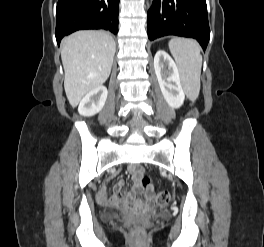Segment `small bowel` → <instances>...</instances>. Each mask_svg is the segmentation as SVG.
<instances>
[{
    "instance_id": "obj_1",
    "label": "small bowel",
    "mask_w": 264,
    "mask_h": 247,
    "mask_svg": "<svg viewBox=\"0 0 264 247\" xmlns=\"http://www.w3.org/2000/svg\"><path fill=\"white\" fill-rule=\"evenodd\" d=\"M129 172L131 174V177L134 181L133 187L126 193H121V186L122 181H118L117 184L114 186L111 197L108 199L113 204L117 205H123L125 204L129 199L134 200L138 195L142 194L145 199L149 200L152 196V189H143L139 185V180L142 175V170L139 166H132L129 169ZM98 198L101 201H107L106 197L104 196V193L101 191L98 193Z\"/></svg>"
}]
</instances>
